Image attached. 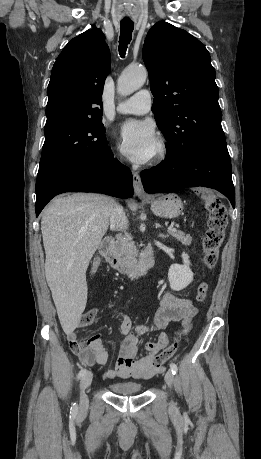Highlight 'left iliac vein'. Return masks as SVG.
I'll use <instances>...</instances> for the list:
<instances>
[{"instance_id": "4c4485c4", "label": "left iliac vein", "mask_w": 261, "mask_h": 459, "mask_svg": "<svg viewBox=\"0 0 261 459\" xmlns=\"http://www.w3.org/2000/svg\"><path fill=\"white\" fill-rule=\"evenodd\" d=\"M174 381H175L174 374L170 370H168L165 374V382L167 383L169 387H172L174 384Z\"/></svg>"}]
</instances>
